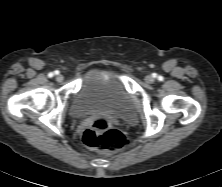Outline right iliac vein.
Returning <instances> with one entry per match:
<instances>
[{
    "label": "right iliac vein",
    "instance_id": "right-iliac-vein-1",
    "mask_svg": "<svg viewBox=\"0 0 222 187\" xmlns=\"http://www.w3.org/2000/svg\"><path fill=\"white\" fill-rule=\"evenodd\" d=\"M63 79H64V77H63L61 74H58V75L56 76V80H57L58 82H62Z\"/></svg>",
    "mask_w": 222,
    "mask_h": 187
}]
</instances>
